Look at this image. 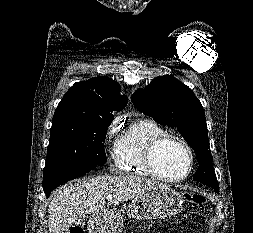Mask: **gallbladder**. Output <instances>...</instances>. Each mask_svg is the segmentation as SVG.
Segmentation results:
<instances>
[{
    "label": "gallbladder",
    "instance_id": "obj_1",
    "mask_svg": "<svg viewBox=\"0 0 253 233\" xmlns=\"http://www.w3.org/2000/svg\"><path fill=\"white\" fill-rule=\"evenodd\" d=\"M86 220L85 219H82L81 222H85Z\"/></svg>",
    "mask_w": 253,
    "mask_h": 233
}]
</instances>
